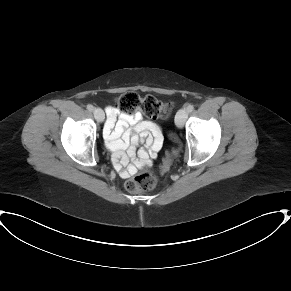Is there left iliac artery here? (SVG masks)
Here are the masks:
<instances>
[{
	"label": "left iliac artery",
	"mask_w": 291,
	"mask_h": 291,
	"mask_svg": "<svg viewBox=\"0 0 291 291\" xmlns=\"http://www.w3.org/2000/svg\"><path fill=\"white\" fill-rule=\"evenodd\" d=\"M194 110V106L192 105V104H189L188 106H187V111L188 112H192Z\"/></svg>",
	"instance_id": "obj_1"
}]
</instances>
